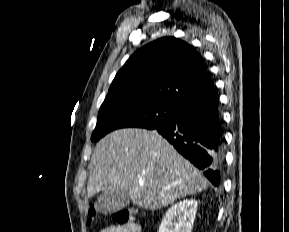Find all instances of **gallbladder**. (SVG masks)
Returning <instances> with one entry per match:
<instances>
[{"mask_svg": "<svg viewBox=\"0 0 289 232\" xmlns=\"http://www.w3.org/2000/svg\"><path fill=\"white\" fill-rule=\"evenodd\" d=\"M130 201L127 192L121 189H114L101 194L96 202V207L102 214H111L122 210Z\"/></svg>", "mask_w": 289, "mask_h": 232, "instance_id": "1", "label": "gallbladder"}]
</instances>
